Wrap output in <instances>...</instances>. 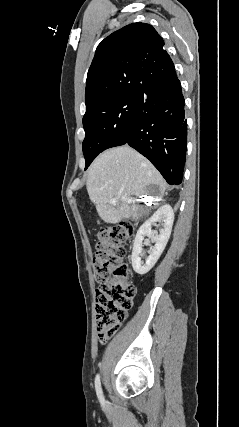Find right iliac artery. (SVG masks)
<instances>
[{
	"label": "right iliac artery",
	"mask_w": 239,
	"mask_h": 427,
	"mask_svg": "<svg viewBox=\"0 0 239 427\" xmlns=\"http://www.w3.org/2000/svg\"><path fill=\"white\" fill-rule=\"evenodd\" d=\"M95 389H96V393H97V396L99 398V401L101 402L102 405H104L105 400H104V396H103V392H102V388H101V382H100L99 374H97V376L95 378Z\"/></svg>",
	"instance_id": "1"
}]
</instances>
